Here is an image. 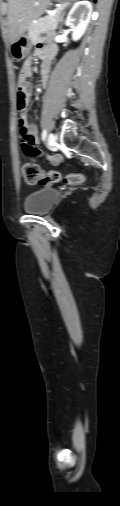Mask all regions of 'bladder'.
Wrapping results in <instances>:
<instances>
[{
  "mask_svg": "<svg viewBox=\"0 0 120 506\" xmlns=\"http://www.w3.org/2000/svg\"><path fill=\"white\" fill-rule=\"evenodd\" d=\"M59 192L54 188H42L30 193L24 200L23 209L31 214H46L50 211Z\"/></svg>",
  "mask_w": 120,
  "mask_h": 506,
  "instance_id": "31cf9c89",
  "label": "bladder"
}]
</instances>
